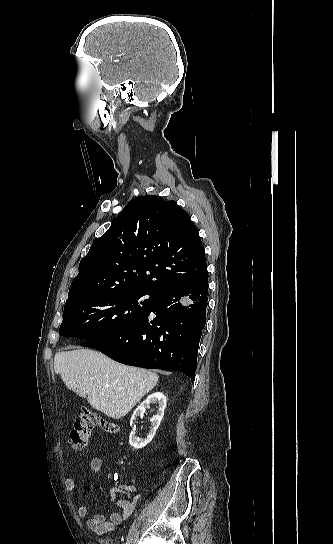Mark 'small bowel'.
<instances>
[{
    "instance_id": "1",
    "label": "small bowel",
    "mask_w": 333,
    "mask_h": 544,
    "mask_svg": "<svg viewBox=\"0 0 333 544\" xmlns=\"http://www.w3.org/2000/svg\"><path fill=\"white\" fill-rule=\"evenodd\" d=\"M103 466V461L100 457H94L90 461V470L93 473H98ZM112 494L124 493L129 499L120 502V511H114L106 517L104 514L96 513L87 519V526L97 535H103L116 529L124 520L129 518L140 499L136 492V487L132 484H122L118 474L113 475ZM65 488L76 497H80L81 493L77 489L76 479L74 476H68L65 480ZM77 514L80 518L88 516V507L84 504L77 508Z\"/></svg>"
}]
</instances>
